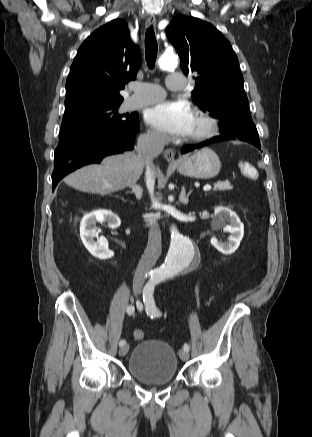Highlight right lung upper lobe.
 Returning a JSON list of instances; mask_svg holds the SVG:
<instances>
[{"mask_svg": "<svg viewBox=\"0 0 312 437\" xmlns=\"http://www.w3.org/2000/svg\"><path fill=\"white\" fill-rule=\"evenodd\" d=\"M141 52L123 20H112L80 46L66 81L67 107L121 103L119 91L136 78Z\"/></svg>", "mask_w": 312, "mask_h": 437, "instance_id": "obj_1", "label": "right lung upper lobe"}]
</instances>
